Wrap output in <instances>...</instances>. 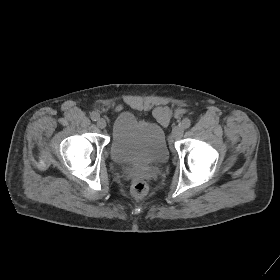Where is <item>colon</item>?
I'll list each match as a JSON object with an SVG mask.
<instances>
[{
	"label": "colon",
	"instance_id": "colon-1",
	"mask_svg": "<svg viewBox=\"0 0 280 280\" xmlns=\"http://www.w3.org/2000/svg\"><path fill=\"white\" fill-rule=\"evenodd\" d=\"M148 192V186L143 180H136L131 186V193L136 198H141Z\"/></svg>",
	"mask_w": 280,
	"mask_h": 280
}]
</instances>
